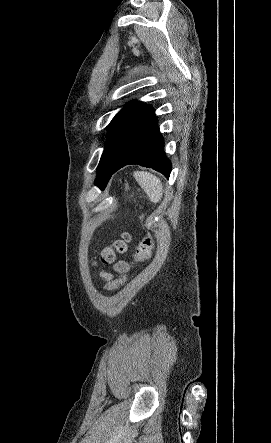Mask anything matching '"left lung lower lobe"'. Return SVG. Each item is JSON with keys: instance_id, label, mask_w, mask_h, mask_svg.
<instances>
[{"instance_id": "0a47b994", "label": "left lung lower lobe", "mask_w": 271, "mask_h": 443, "mask_svg": "<svg viewBox=\"0 0 271 443\" xmlns=\"http://www.w3.org/2000/svg\"><path fill=\"white\" fill-rule=\"evenodd\" d=\"M163 147L164 140L159 133L154 111L148 105H143L125 130L110 170V177L126 165L138 164L155 169L168 178L172 164L165 156Z\"/></svg>"}]
</instances>
